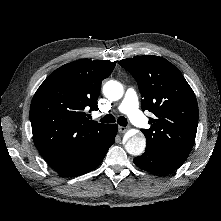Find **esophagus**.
Masks as SVG:
<instances>
[{
	"instance_id": "34e87169",
	"label": "esophagus",
	"mask_w": 221,
	"mask_h": 221,
	"mask_svg": "<svg viewBox=\"0 0 221 221\" xmlns=\"http://www.w3.org/2000/svg\"><path fill=\"white\" fill-rule=\"evenodd\" d=\"M118 131H119L120 133H124V132L127 131V128L124 127V126H119V127H118Z\"/></svg>"
}]
</instances>
